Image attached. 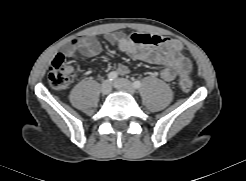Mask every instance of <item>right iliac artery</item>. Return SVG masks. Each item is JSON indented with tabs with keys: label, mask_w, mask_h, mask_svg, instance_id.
<instances>
[{
	"label": "right iliac artery",
	"mask_w": 246,
	"mask_h": 181,
	"mask_svg": "<svg viewBox=\"0 0 246 181\" xmlns=\"http://www.w3.org/2000/svg\"><path fill=\"white\" fill-rule=\"evenodd\" d=\"M118 77V74L115 71H112L108 74V80L113 81Z\"/></svg>",
	"instance_id": "right-iliac-artery-1"
}]
</instances>
